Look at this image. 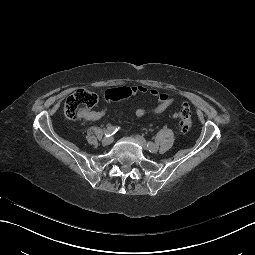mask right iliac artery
I'll list each match as a JSON object with an SVG mask.
<instances>
[{"label": "right iliac artery", "instance_id": "right-iliac-artery-1", "mask_svg": "<svg viewBox=\"0 0 255 255\" xmlns=\"http://www.w3.org/2000/svg\"><path fill=\"white\" fill-rule=\"evenodd\" d=\"M119 127H114V126H108L105 131H104V134L106 137H110L112 136L113 134H115L117 131H118Z\"/></svg>", "mask_w": 255, "mask_h": 255}]
</instances>
